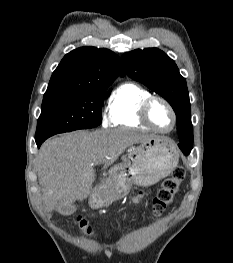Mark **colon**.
Segmentation results:
<instances>
[{"instance_id": "colon-1", "label": "colon", "mask_w": 233, "mask_h": 263, "mask_svg": "<svg viewBox=\"0 0 233 263\" xmlns=\"http://www.w3.org/2000/svg\"><path fill=\"white\" fill-rule=\"evenodd\" d=\"M185 178V169L182 166L176 167L171 176L166 178L153 201L152 212L154 216L162 215L168 206L173 202L175 194L179 191L180 185ZM78 226L85 233H93L91 226L84 220H78Z\"/></svg>"}]
</instances>
